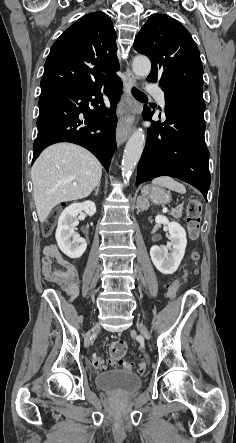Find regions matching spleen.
<instances>
[{"label":"spleen","mask_w":236,"mask_h":443,"mask_svg":"<svg viewBox=\"0 0 236 443\" xmlns=\"http://www.w3.org/2000/svg\"><path fill=\"white\" fill-rule=\"evenodd\" d=\"M152 184L157 185V186L166 187L170 190H173V191L181 193V194L186 193L185 186L169 176H162V177L155 178L152 181Z\"/></svg>","instance_id":"3e777b00"}]
</instances>
